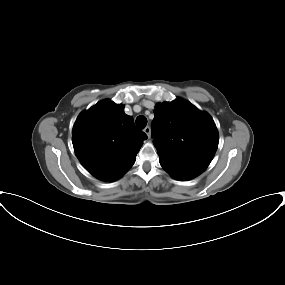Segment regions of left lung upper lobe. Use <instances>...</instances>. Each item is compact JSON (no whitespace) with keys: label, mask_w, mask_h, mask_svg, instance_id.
Returning a JSON list of instances; mask_svg holds the SVG:
<instances>
[{"label":"left lung upper lobe","mask_w":285,"mask_h":285,"mask_svg":"<svg viewBox=\"0 0 285 285\" xmlns=\"http://www.w3.org/2000/svg\"><path fill=\"white\" fill-rule=\"evenodd\" d=\"M152 137L159 158L201 172L212 161L219 142L212 117L182 99L156 105Z\"/></svg>","instance_id":"left-lung-upper-lobe-1"}]
</instances>
